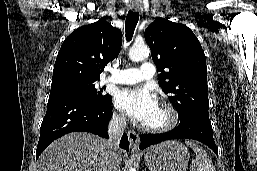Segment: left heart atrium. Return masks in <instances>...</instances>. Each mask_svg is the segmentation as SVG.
<instances>
[{"label":"left heart atrium","mask_w":257,"mask_h":171,"mask_svg":"<svg viewBox=\"0 0 257 171\" xmlns=\"http://www.w3.org/2000/svg\"><path fill=\"white\" fill-rule=\"evenodd\" d=\"M118 109L144 123L158 106L155 94L148 88L124 89L115 97Z\"/></svg>","instance_id":"39dd6f15"}]
</instances>
